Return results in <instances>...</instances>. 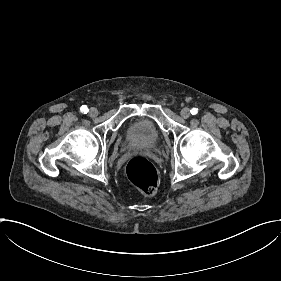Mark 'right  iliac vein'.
<instances>
[{
    "instance_id": "63e3f726",
    "label": "right iliac vein",
    "mask_w": 281,
    "mask_h": 281,
    "mask_svg": "<svg viewBox=\"0 0 281 281\" xmlns=\"http://www.w3.org/2000/svg\"><path fill=\"white\" fill-rule=\"evenodd\" d=\"M89 114H90V116L95 117V116H97L98 111H97V109L92 108V109H90Z\"/></svg>"
}]
</instances>
